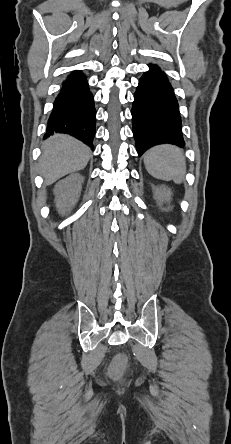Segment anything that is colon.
I'll list each match as a JSON object with an SVG mask.
<instances>
[{"label": "colon", "mask_w": 231, "mask_h": 444, "mask_svg": "<svg viewBox=\"0 0 231 444\" xmlns=\"http://www.w3.org/2000/svg\"><path fill=\"white\" fill-rule=\"evenodd\" d=\"M126 361L123 357H117L111 367V373L114 376H119L125 368Z\"/></svg>", "instance_id": "colon-1"}]
</instances>
